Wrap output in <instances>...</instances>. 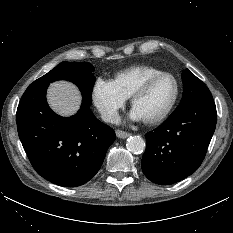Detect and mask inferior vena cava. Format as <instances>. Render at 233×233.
Here are the masks:
<instances>
[{
  "instance_id": "obj_1",
  "label": "inferior vena cava",
  "mask_w": 233,
  "mask_h": 233,
  "mask_svg": "<svg viewBox=\"0 0 233 233\" xmlns=\"http://www.w3.org/2000/svg\"><path fill=\"white\" fill-rule=\"evenodd\" d=\"M101 118L103 121L113 124H118L120 122V117L117 114L110 111H102Z\"/></svg>"
}]
</instances>
